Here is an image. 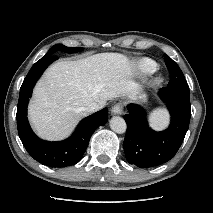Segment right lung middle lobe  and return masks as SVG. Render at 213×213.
<instances>
[{
	"label": "right lung middle lobe",
	"mask_w": 213,
	"mask_h": 213,
	"mask_svg": "<svg viewBox=\"0 0 213 213\" xmlns=\"http://www.w3.org/2000/svg\"><path fill=\"white\" fill-rule=\"evenodd\" d=\"M83 48H71L61 44L54 45L44 56L53 55L56 51H62L66 53H76L82 51Z\"/></svg>",
	"instance_id": "right-lung-middle-lobe-1"
}]
</instances>
